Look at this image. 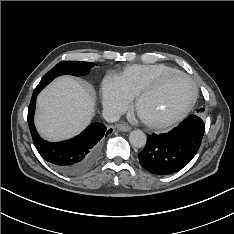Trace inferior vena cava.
Returning a JSON list of instances; mask_svg holds the SVG:
<instances>
[{
  "mask_svg": "<svg viewBox=\"0 0 234 234\" xmlns=\"http://www.w3.org/2000/svg\"><path fill=\"white\" fill-rule=\"evenodd\" d=\"M102 115L107 122H116L120 119V113L112 108H104Z\"/></svg>",
  "mask_w": 234,
  "mask_h": 234,
  "instance_id": "obj_1",
  "label": "inferior vena cava"
}]
</instances>
